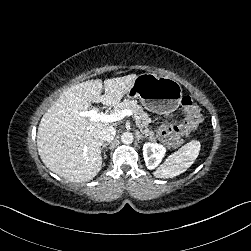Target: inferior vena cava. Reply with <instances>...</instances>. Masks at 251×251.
<instances>
[{
    "instance_id": "inferior-vena-cava-1",
    "label": "inferior vena cava",
    "mask_w": 251,
    "mask_h": 251,
    "mask_svg": "<svg viewBox=\"0 0 251 251\" xmlns=\"http://www.w3.org/2000/svg\"><path fill=\"white\" fill-rule=\"evenodd\" d=\"M115 135H116V130L113 127L106 126V127L102 128L98 137L101 140L111 142L115 138ZM100 145H101V143H100Z\"/></svg>"
}]
</instances>
